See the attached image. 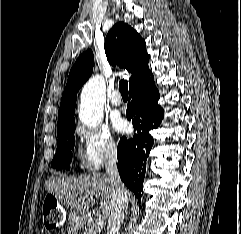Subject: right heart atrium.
Returning <instances> with one entry per match:
<instances>
[{"instance_id":"obj_1","label":"right heart atrium","mask_w":241,"mask_h":234,"mask_svg":"<svg viewBox=\"0 0 241 234\" xmlns=\"http://www.w3.org/2000/svg\"><path fill=\"white\" fill-rule=\"evenodd\" d=\"M76 133L83 143V162L88 170H99L118 154V143L107 127L77 126Z\"/></svg>"}]
</instances>
